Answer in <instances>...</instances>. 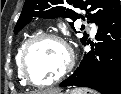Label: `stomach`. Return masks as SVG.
Returning <instances> with one entry per match:
<instances>
[{
    "label": "stomach",
    "mask_w": 121,
    "mask_h": 94,
    "mask_svg": "<svg viewBox=\"0 0 121 94\" xmlns=\"http://www.w3.org/2000/svg\"><path fill=\"white\" fill-rule=\"evenodd\" d=\"M87 92L88 91L86 90L75 88L73 90L66 92L65 94H95L94 92H91V93H87ZM56 94H61V93H56Z\"/></svg>",
    "instance_id": "stomach-1"
}]
</instances>
